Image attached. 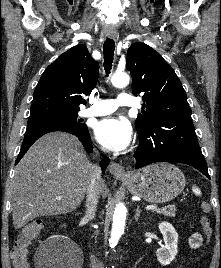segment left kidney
Masks as SVG:
<instances>
[{"label":"left kidney","mask_w":221,"mask_h":268,"mask_svg":"<svg viewBox=\"0 0 221 268\" xmlns=\"http://www.w3.org/2000/svg\"><path fill=\"white\" fill-rule=\"evenodd\" d=\"M163 235L164 245L157 249L156 256L161 265H168L178 253V233L168 222H162L158 226Z\"/></svg>","instance_id":"left-kidney-1"}]
</instances>
